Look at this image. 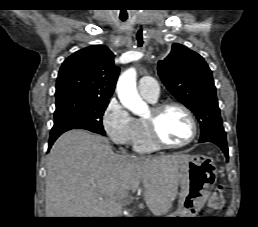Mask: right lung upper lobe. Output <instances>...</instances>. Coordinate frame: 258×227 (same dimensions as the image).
Segmentation results:
<instances>
[{
	"instance_id": "cb5924a9",
	"label": "right lung upper lobe",
	"mask_w": 258,
	"mask_h": 227,
	"mask_svg": "<svg viewBox=\"0 0 258 227\" xmlns=\"http://www.w3.org/2000/svg\"><path fill=\"white\" fill-rule=\"evenodd\" d=\"M113 59L114 54L104 45L75 52L62 63L55 96L77 95L109 101L119 75Z\"/></svg>"
}]
</instances>
